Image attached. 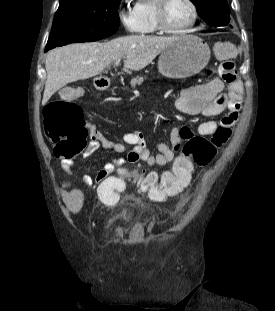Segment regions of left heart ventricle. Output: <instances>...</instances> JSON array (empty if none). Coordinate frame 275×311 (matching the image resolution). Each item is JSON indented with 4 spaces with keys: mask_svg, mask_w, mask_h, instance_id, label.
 Masks as SVG:
<instances>
[{
    "mask_svg": "<svg viewBox=\"0 0 275 311\" xmlns=\"http://www.w3.org/2000/svg\"><path fill=\"white\" fill-rule=\"evenodd\" d=\"M191 17L192 11L186 0H170L165 11V22L169 28H182Z\"/></svg>",
    "mask_w": 275,
    "mask_h": 311,
    "instance_id": "b2bd125f",
    "label": "left heart ventricle"
}]
</instances>
